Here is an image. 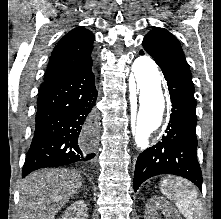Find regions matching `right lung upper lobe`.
I'll list each match as a JSON object with an SVG mask.
<instances>
[{
	"mask_svg": "<svg viewBox=\"0 0 221 219\" xmlns=\"http://www.w3.org/2000/svg\"><path fill=\"white\" fill-rule=\"evenodd\" d=\"M94 39L93 33L82 26L68 32L52 52L44 81L70 74L91 62Z\"/></svg>",
	"mask_w": 221,
	"mask_h": 219,
	"instance_id": "obj_1",
	"label": "right lung upper lobe"
}]
</instances>
